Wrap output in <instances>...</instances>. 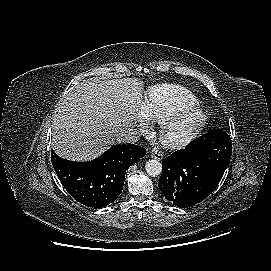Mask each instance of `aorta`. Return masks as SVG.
Segmentation results:
<instances>
[{
	"label": "aorta",
	"instance_id": "762f6f07",
	"mask_svg": "<svg viewBox=\"0 0 271 271\" xmlns=\"http://www.w3.org/2000/svg\"><path fill=\"white\" fill-rule=\"evenodd\" d=\"M145 170L150 176H158L162 172V164L156 159L148 160L145 165Z\"/></svg>",
	"mask_w": 271,
	"mask_h": 271
}]
</instances>
